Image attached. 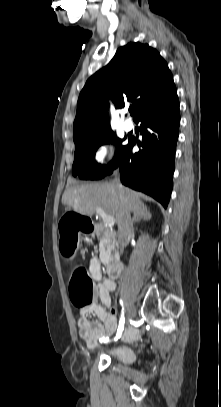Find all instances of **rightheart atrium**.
Wrapping results in <instances>:
<instances>
[{
  "mask_svg": "<svg viewBox=\"0 0 221 407\" xmlns=\"http://www.w3.org/2000/svg\"><path fill=\"white\" fill-rule=\"evenodd\" d=\"M113 147L110 144H101L96 147L93 159L97 163H103L113 158Z\"/></svg>",
  "mask_w": 221,
  "mask_h": 407,
  "instance_id": "obj_1",
  "label": "right heart atrium"
}]
</instances>
